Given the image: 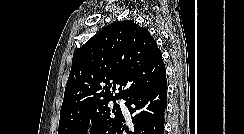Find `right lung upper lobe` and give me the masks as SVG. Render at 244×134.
Instances as JSON below:
<instances>
[{"mask_svg":"<svg viewBox=\"0 0 244 134\" xmlns=\"http://www.w3.org/2000/svg\"><path fill=\"white\" fill-rule=\"evenodd\" d=\"M165 75L161 51L148 29L133 20L116 21L74 51L60 120L108 100L126 99ZM116 85L120 92L113 96Z\"/></svg>","mask_w":244,"mask_h":134,"instance_id":"right-lung-upper-lobe-1","label":"right lung upper lobe"}]
</instances>
